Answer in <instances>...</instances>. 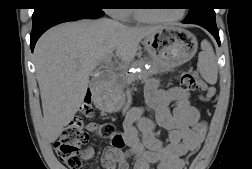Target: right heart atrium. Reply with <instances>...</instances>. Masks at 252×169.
Instances as JSON below:
<instances>
[{
  "label": "right heart atrium",
  "mask_w": 252,
  "mask_h": 169,
  "mask_svg": "<svg viewBox=\"0 0 252 169\" xmlns=\"http://www.w3.org/2000/svg\"><path fill=\"white\" fill-rule=\"evenodd\" d=\"M108 14L114 19L125 21L128 18V10L123 8L107 9Z\"/></svg>",
  "instance_id": "right-heart-atrium-1"
}]
</instances>
